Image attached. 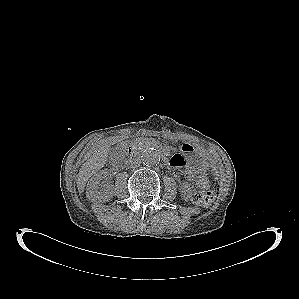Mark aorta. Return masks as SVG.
Masks as SVG:
<instances>
[{
    "mask_svg": "<svg viewBox=\"0 0 299 299\" xmlns=\"http://www.w3.org/2000/svg\"><path fill=\"white\" fill-rule=\"evenodd\" d=\"M161 158L160 152L155 148H149L142 154V161L146 165H156L159 163Z\"/></svg>",
    "mask_w": 299,
    "mask_h": 299,
    "instance_id": "aorta-1",
    "label": "aorta"
}]
</instances>
